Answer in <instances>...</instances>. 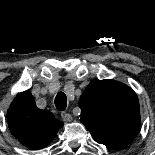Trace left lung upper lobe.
<instances>
[{"instance_id":"obj_1","label":"left lung upper lobe","mask_w":155,"mask_h":155,"mask_svg":"<svg viewBox=\"0 0 155 155\" xmlns=\"http://www.w3.org/2000/svg\"><path fill=\"white\" fill-rule=\"evenodd\" d=\"M80 121L98 143L122 148L137 136L141 121L137 95L127 85L102 80L91 82L83 92Z\"/></svg>"}]
</instances>
